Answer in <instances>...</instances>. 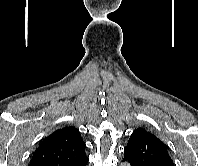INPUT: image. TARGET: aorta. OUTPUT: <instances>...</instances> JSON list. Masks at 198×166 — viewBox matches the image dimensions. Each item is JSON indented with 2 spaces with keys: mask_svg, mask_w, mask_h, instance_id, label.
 Instances as JSON below:
<instances>
[{
  "mask_svg": "<svg viewBox=\"0 0 198 166\" xmlns=\"http://www.w3.org/2000/svg\"><path fill=\"white\" fill-rule=\"evenodd\" d=\"M121 166H130V164L128 162H124L121 164Z\"/></svg>",
  "mask_w": 198,
  "mask_h": 166,
  "instance_id": "762f6f07",
  "label": "aorta"
}]
</instances>
